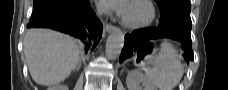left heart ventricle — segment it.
I'll return each instance as SVG.
<instances>
[{"instance_id": "b2bd125f", "label": "left heart ventricle", "mask_w": 228, "mask_h": 90, "mask_svg": "<svg viewBox=\"0 0 228 90\" xmlns=\"http://www.w3.org/2000/svg\"><path fill=\"white\" fill-rule=\"evenodd\" d=\"M148 16V7L140 2L128 4L124 14V17L133 23L142 22L147 19Z\"/></svg>"}]
</instances>
